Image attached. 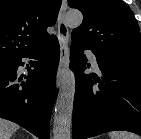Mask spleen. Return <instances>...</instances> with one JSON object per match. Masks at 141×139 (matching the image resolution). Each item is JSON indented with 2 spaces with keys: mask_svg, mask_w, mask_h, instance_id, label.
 Masks as SVG:
<instances>
[{
  "mask_svg": "<svg viewBox=\"0 0 141 139\" xmlns=\"http://www.w3.org/2000/svg\"><path fill=\"white\" fill-rule=\"evenodd\" d=\"M110 139H141V137L130 132L116 131L109 134Z\"/></svg>",
  "mask_w": 141,
  "mask_h": 139,
  "instance_id": "1",
  "label": "spleen"
}]
</instances>
